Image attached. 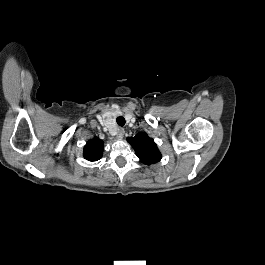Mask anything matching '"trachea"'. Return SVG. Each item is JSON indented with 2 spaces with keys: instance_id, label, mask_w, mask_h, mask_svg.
Here are the masks:
<instances>
[{
  "instance_id": "obj_1",
  "label": "trachea",
  "mask_w": 265,
  "mask_h": 265,
  "mask_svg": "<svg viewBox=\"0 0 265 265\" xmlns=\"http://www.w3.org/2000/svg\"><path fill=\"white\" fill-rule=\"evenodd\" d=\"M116 122H117V124H118L119 126L122 127V126L125 125V118L122 117V116H119V117H117Z\"/></svg>"
}]
</instances>
